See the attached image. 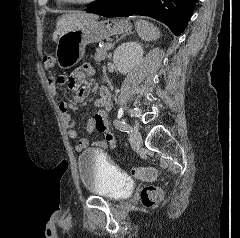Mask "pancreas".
Segmentation results:
<instances>
[{"instance_id":"obj_1","label":"pancreas","mask_w":240,"mask_h":238,"mask_svg":"<svg viewBox=\"0 0 240 238\" xmlns=\"http://www.w3.org/2000/svg\"><path fill=\"white\" fill-rule=\"evenodd\" d=\"M107 44H103L102 47L96 49V53L94 55V59L97 62L105 60L107 57V50H106Z\"/></svg>"}]
</instances>
